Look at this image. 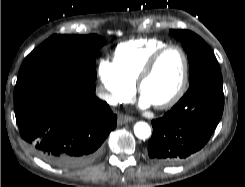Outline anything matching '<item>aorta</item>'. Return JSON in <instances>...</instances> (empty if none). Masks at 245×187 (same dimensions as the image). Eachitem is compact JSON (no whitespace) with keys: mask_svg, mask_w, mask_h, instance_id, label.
I'll use <instances>...</instances> for the list:
<instances>
[{"mask_svg":"<svg viewBox=\"0 0 245 187\" xmlns=\"http://www.w3.org/2000/svg\"><path fill=\"white\" fill-rule=\"evenodd\" d=\"M134 133H135L137 138L145 140V139L150 137L151 128L145 122H137L134 125Z\"/></svg>","mask_w":245,"mask_h":187,"instance_id":"1","label":"aorta"}]
</instances>
